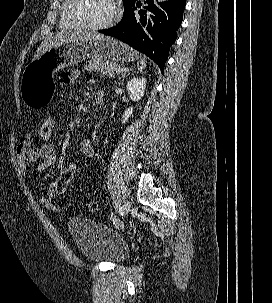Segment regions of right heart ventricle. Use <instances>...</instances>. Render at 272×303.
<instances>
[{
  "mask_svg": "<svg viewBox=\"0 0 272 303\" xmlns=\"http://www.w3.org/2000/svg\"><path fill=\"white\" fill-rule=\"evenodd\" d=\"M69 0H64L62 7H61V12H60V20H59V25L63 29H75L77 28L73 23H71L68 18H67V6H68Z\"/></svg>",
  "mask_w": 272,
  "mask_h": 303,
  "instance_id": "1",
  "label": "right heart ventricle"
}]
</instances>
